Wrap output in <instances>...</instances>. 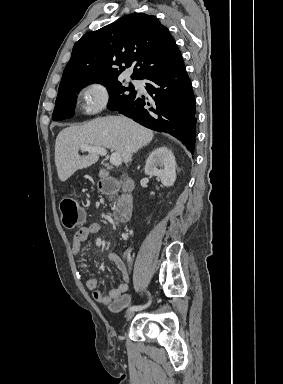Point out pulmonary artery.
Listing matches in <instances>:
<instances>
[{
	"instance_id": "1",
	"label": "pulmonary artery",
	"mask_w": 283,
	"mask_h": 384,
	"mask_svg": "<svg viewBox=\"0 0 283 384\" xmlns=\"http://www.w3.org/2000/svg\"><path fill=\"white\" fill-rule=\"evenodd\" d=\"M128 81H131L132 83H134L136 86L140 88L143 87V83L141 81L133 80L130 76L128 77Z\"/></svg>"
}]
</instances>
